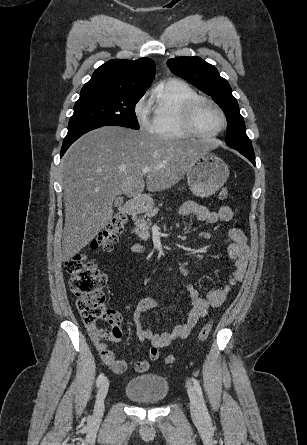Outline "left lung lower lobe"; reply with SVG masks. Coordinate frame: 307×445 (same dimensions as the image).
Returning a JSON list of instances; mask_svg holds the SVG:
<instances>
[{"label":"left lung lower lobe","mask_w":307,"mask_h":445,"mask_svg":"<svg viewBox=\"0 0 307 445\" xmlns=\"http://www.w3.org/2000/svg\"><path fill=\"white\" fill-rule=\"evenodd\" d=\"M238 152H240L242 155H244L249 161H251L253 163L254 166H256L255 163V156H254V151H248V150H243V149H235Z\"/></svg>","instance_id":"left-lung-lower-lobe-1"}]
</instances>
